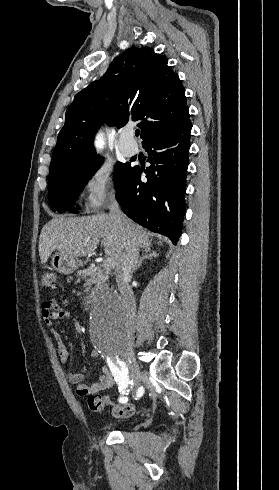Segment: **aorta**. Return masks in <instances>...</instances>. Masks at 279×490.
Returning <instances> with one entry per match:
<instances>
[{
  "label": "aorta",
  "instance_id": "1",
  "mask_svg": "<svg viewBox=\"0 0 279 490\" xmlns=\"http://www.w3.org/2000/svg\"><path fill=\"white\" fill-rule=\"evenodd\" d=\"M98 149L104 146L103 135L96 136ZM89 330L92 341L103 352L109 353L128 342L130 331L121 299L111 291H101L94 296L89 314Z\"/></svg>",
  "mask_w": 279,
  "mask_h": 490
}]
</instances>
